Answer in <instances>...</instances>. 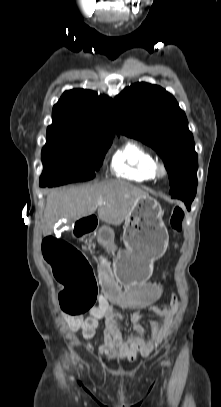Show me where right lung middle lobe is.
Masks as SVG:
<instances>
[{
  "instance_id": "1",
  "label": "right lung middle lobe",
  "mask_w": 221,
  "mask_h": 407,
  "mask_svg": "<svg viewBox=\"0 0 221 407\" xmlns=\"http://www.w3.org/2000/svg\"><path fill=\"white\" fill-rule=\"evenodd\" d=\"M112 142L47 137L42 149L40 186H59L95 177Z\"/></svg>"
}]
</instances>
